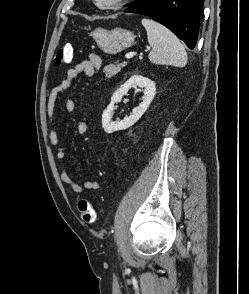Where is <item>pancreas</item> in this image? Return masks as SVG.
<instances>
[{
  "mask_svg": "<svg viewBox=\"0 0 249 294\" xmlns=\"http://www.w3.org/2000/svg\"><path fill=\"white\" fill-rule=\"evenodd\" d=\"M126 62L124 63H118V62H115L114 64H110V65H107L106 67H104V73H105V76L107 78H111L113 77L114 75H116L118 72H120V70L126 66Z\"/></svg>",
  "mask_w": 249,
  "mask_h": 294,
  "instance_id": "obj_1",
  "label": "pancreas"
}]
</instances>
